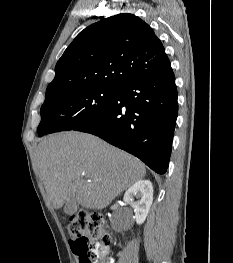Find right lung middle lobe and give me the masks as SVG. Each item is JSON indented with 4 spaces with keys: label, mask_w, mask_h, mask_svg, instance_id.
Returning <instances> with one entry per match:
<instances>
[{
    "label": "right lung middle lobe",
    "mask_w": 233,
    "mask_h": 263,
    "mask_svg": "<svg viewBox=\"0 0 233 263\" xmlns=\"http://www.w3.org/2000/svg\"><path fill=\"white\" fill-rule=\"evenodd\" d=\"M116 92L117 88L92 86L47 97L40 109L38 135L72 130L105 110Z\"/></svg>",
    "instance_id": "obj_1"
}]
</instances>
